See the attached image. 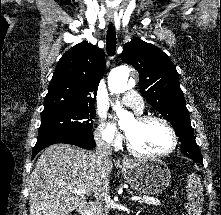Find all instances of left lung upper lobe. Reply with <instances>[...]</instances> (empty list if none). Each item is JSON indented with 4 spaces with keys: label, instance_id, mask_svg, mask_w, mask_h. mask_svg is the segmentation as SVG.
<instances>
[{
    "label": "left lung upper lobe",
    "instance_id": "1",
    "mask_svg": "<svg viewBox=\"0 0 221 215\" xmlns=\"http://www.w3.org/2000/svg\"><path fill=\"white\" fill-rule=\"evenodd\" d=\"M121 58L139 72L142 95L172 124L179 137L181 151L189 158H202L194 139L177 70L166 53L135 38L125 44Z\"/></svg>",
    "mask_w": 221,
    "mask_h": 215
}]
</instances>
